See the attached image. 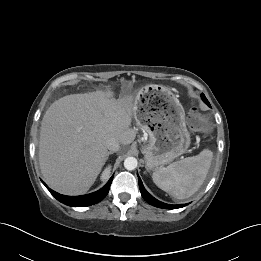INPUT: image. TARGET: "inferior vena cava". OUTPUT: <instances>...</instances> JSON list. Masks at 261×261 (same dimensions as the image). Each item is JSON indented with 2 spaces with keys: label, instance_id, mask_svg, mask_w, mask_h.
<instances>
[{
  "label": "inferior vena cava",
  "instance_id": "obj_1",
  "mask_svg": "<svg viewBox=\"0 0 261 261\" xmlns=\"http://www.w3.org/2000/svg\"><path fill=\"white\" fill-rule=\"evenodd\" d=\"M105 147L110 151L117 152L120 149V144L116 138L111 137L106 140Z\"/></svg>",
  "mask_w": 261,
  "mask_h": 261
}]
</instances>
